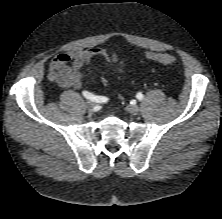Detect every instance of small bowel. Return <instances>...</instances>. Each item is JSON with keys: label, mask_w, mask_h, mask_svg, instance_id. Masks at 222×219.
<instances>
[{"label": "small bowel", "mask_w": 222, "mask_h": 219, "mask_svg": "<svg viewBox=\"0 0 222 219\" xmlns=\"http://www.w3.org/2000/svg\"><path fill=\"white\" fill-rule=\"evenodd\" d=\"M95 57H102L108 65L115 67L117 71L122 70L123 62L112 50L91 47L57 54L49 63L47 76L63 88L78 89L83 85L85 79L93 74L92 60ZM84 65L85 69H83Z\"/></svg>", "instance_id": "c3829d8e"}]
</instances>
